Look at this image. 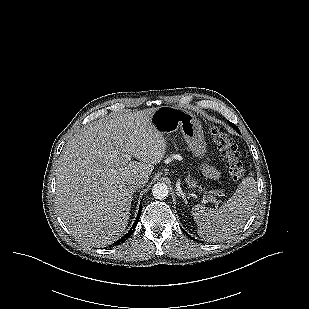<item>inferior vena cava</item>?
Wrapping results in <instances>:
<instances>
[{"label":"inferior vena cava","instance_id":"602c4592","mask_svg":"<svg viewBox=\"0 0 309 309\" xmlns=\"http://www.w3.org/2000/svg\"><path fill=\"white\" fill-rule=\"evenodd\" d=\"M148 179L144 176H139V177H136V178H133L131 181H130V185L133 189H139V188H142L145 186V184L147 183Z\"/></svg>","mask_w":309,"mask_h":309}]
</instances>
